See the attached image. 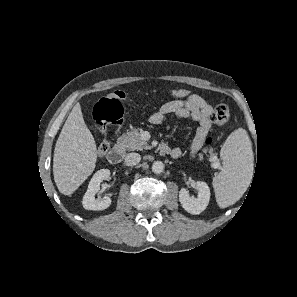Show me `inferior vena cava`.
<instances>
[{"instance_id":"obj_1","label":"inferior vena cava","mask_w":297,"mask_h":297,"mask_svg":"<svg viewBox=\"0 0 297 297\" xmlns=\"http://www.w3.org/2000/svg\"><path fill=\"white\" fill-rule=\"evenodd\" d=\"M141 160V156L138 153H129L125 156V164L127 166L137 165Z\"/></svg>"}]
</instances>
